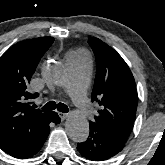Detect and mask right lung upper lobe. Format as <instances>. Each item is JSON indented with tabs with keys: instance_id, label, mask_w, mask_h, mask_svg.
<instances>
[{
	"instance_id": "1",
	"label": "right lung upper lobe",
	"mask_w": 165,
	"mask_h": 165,
	"mask_svg": "<svg viewBox=\"0 0 165 165\" xmlns=\"http://www.w3.org/2000/svg\"><path fill=\"white\" fill-rule=\"evenodd\" d=\"M54 38L40 37L21 41L0 57V148L10 147L20 137L44 126L53 112L30 106L38 96L28 92V84L39 60Z\"/></svg>"
}]
</instances>
